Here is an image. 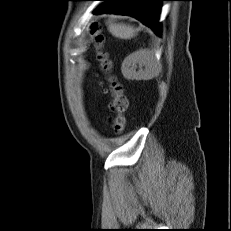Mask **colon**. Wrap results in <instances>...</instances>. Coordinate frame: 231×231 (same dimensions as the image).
Listing matches in <instances>:
<instances>
[{"instance_id":"5ec220e1","label":"colon","mask_w":231,"mask_h":231,"mask_svg":"<svg viewBox=\"0 0 231 231\" xmlns=\"http://www.w3.org/2000/svg\"><path fill=\"white\" fill-rule=\"evenodd\" d=\"M97 44L101 45L103 43V37L101 35L96 36ZM98 59L101 62V67L105 71H109L111 68V63L108 60L106 53L100 52L98 54ZM108 92L111 95L110 108L114 113L112 118V127L115 132H121L124 130L128 121V112L130 109V99L125 94L122 86L110 79V87Z\"/></svg>"}]
</instances>
